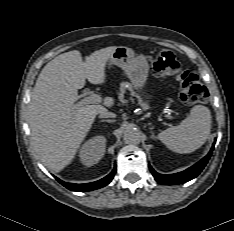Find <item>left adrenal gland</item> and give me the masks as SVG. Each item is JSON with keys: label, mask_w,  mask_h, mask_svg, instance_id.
<instances>
[{"label": "left adrenal gland", "mask_w": 234, "mask_h": 231, "mask_svg": "<svg viewBox=\"0 0 234 231\" xmlns=\"http://www.w3.org/2000/svg\"><path fill=\"white\" fill-rule=\"evenodd\" d=\"M153 127H150L151 130V138L156 139L157 137L154 135V132L152 131Z\"/></svg>", "instance_id": "a2214340"}]
</instances>
